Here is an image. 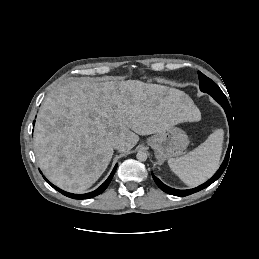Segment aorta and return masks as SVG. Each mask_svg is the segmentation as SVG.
Listing matches in <instances>:
<instances>
[{
    "label": "aorta",
    "instance_id": "obj_1",
    "mask_svg": "<svg viewBox=\"0 0 259 259\" xmlns=\"http://www.w3.org/2000/svg\"><path fill=\"white\" fill-rule=\"evenodd\" d=\"M139 161H146L147 160V153L145 151H138L136 155Z\"/></svg>",
    "mask_w": 259,
    "mask_h": 259
}]
</instances>
